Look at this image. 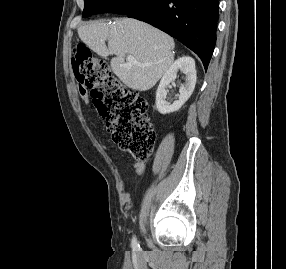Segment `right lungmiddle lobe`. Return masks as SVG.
I'll use <instances>...</instances> for the list:
<instances>
[{
	"label": "right lung middle lobe",
	"mask_w": 286,
	"mask_h": 269,
	"mask_svg": "<svg viewBox=\"0 0 286 269\" xmlns=\"http://www.w3.org/2000/svg\"><path fill=\"white\" fill-rule=\"evenodd\" d=\"M152 0H84L85 7L82 17L98 13H118L128 15L135 12Z\"/></svg>",
	"instance_id": "right-lung-middle-lobe-1"
}]
</instances>
